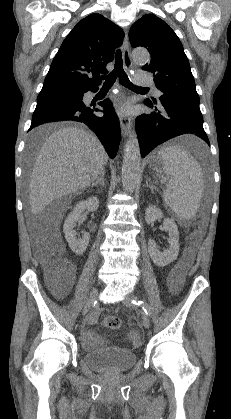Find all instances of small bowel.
I'll use <instances>...</instances> for the list:
<instances>
[{"label":"small bowel","instance_id":"1","mask_svg":"<svg viewBox=\"0 0 231 419\" xmlns=\"http://www.w3.org/2000/svg\"><path fill=\"white\" fill-rule=\"evenodd\" d=\"M73 280V276L71 275L70 279L67 282V285L70 284ZM67 289V286L61 289L60 294L64 293ZM171 291L173 294L177 292V284H171ZM100 316V311L95 310L93 311L85 320L83 329H82V339L83 345L86 349L92 350L96 347L98 343L102 341L101 337L96 333V331L89 329L90 326L96 324L98 318Z\"/></svg>","mask_w":231,"mask_h":419}]
</instances>
